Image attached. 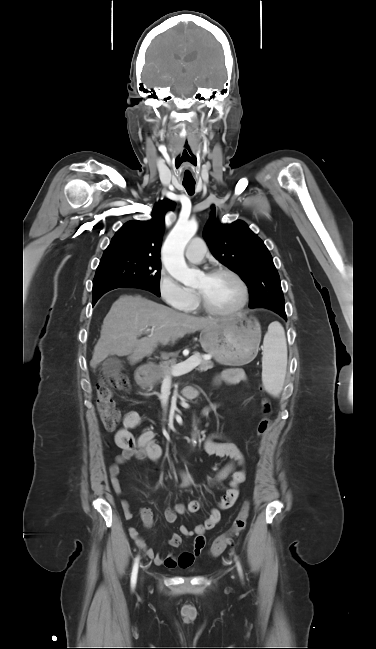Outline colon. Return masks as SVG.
Instances as JSON below:
<instances>
[{
  "instance_id": "5ec220e1",
  "label": "colon",
  "mask_w": 376,
  "mask_h": 649,
  "mask_svg": "<svg viewBox=\"0 0 376 649\" xmlns=\"http://www.w3.org/2000/svg\"><path fill=\"white\" fill-rule=\"evenodd\" d=\"M128 391L130 382L126 375L115 374L110 377L102 378L97 389V410L104 427L112 431L116 428L120 420V412L115 408L113 401V390ZM262 416L257 422L256 431L260 438L268 434L271 428L270 403L267 398L261 401ZM249 502H245L235 517L232 527L225 535L218 537L212 543L210 552L213 556H219L226 547L232 542L234 536L239 535L246 527L249 516Z\"/></svg>"
}]
</instances>
